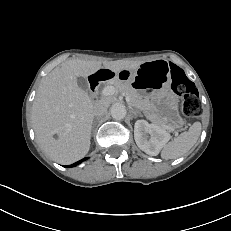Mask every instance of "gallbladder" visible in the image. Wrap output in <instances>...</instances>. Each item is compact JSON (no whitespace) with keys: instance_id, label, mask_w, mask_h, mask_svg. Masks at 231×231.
<instances>
[{"instance_id":"gallbladder-1","label":"gallbladder","mask_w":231,"mask_h":231,"mask_svg":"<svg viewBox=\"0 0 231 231\" xmlns=\"http://www.w3.org/2000/svg\"><path fill=\"white\" fill-rule=\"evenodd\" d=\"M77 84L82 90L87 91L89 89L88 82L84 77H78Z\"/></svg>"}]
</instances>
